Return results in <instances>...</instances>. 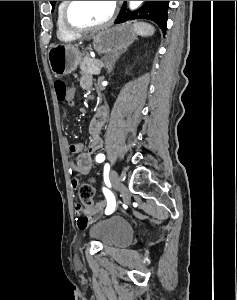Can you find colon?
Here are the masks:
<instances>
[{
	"mask_svg": "<svg viewBox=\"0 0 237 300\" xmlns=\"http://www.w3.org/2000/svg\"><path fill=\"white\" fill-rule=\"evenodd\" d=\"M55 92L58 100L66 101L71 106L74 105V98L69 97L66 84L62 80H57L54 83ZM95 195V188L92 182H85L78 186V196L83 205V210L86 215H94L95 208L93 206V198Z\"/></svg>",
	"mask_w": 237,
	"mask_h": 300,
	"instance_id": "5ec220e1",
	"label": "colon"
}]
</instances>
